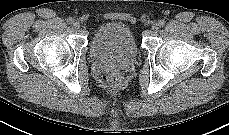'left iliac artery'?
<instances>
[{"instance_id": "44dca946", "label": "left iliac artery", "mask_w": 229, "mask_h": 135, "mask_svg": "<svg viewBox=\"0 0 229 135\" xmlns=\"http://www.w3.org/2000/svg\"><path fill=\"white\" fill-rule=\"evenodd\" d=\"M164 24H165V22L163 21V20H160L159 21V26L161 27V26H164Z\"/></svg>"}]
</instances>
